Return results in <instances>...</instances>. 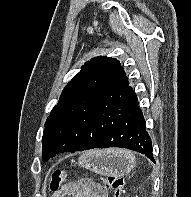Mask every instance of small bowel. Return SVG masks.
I'll list each match as a JSON object with an SVG mask.
<instances>
[{
	"label": "small bowel",
	"mask_w": 191,
	"mask_h": 197,
	"mask_svg": "<svg viewBox=\"0 0 191 197\" xmlns=\"http://www.w3.org/2000/svg\"><path fill=\"white\" fill-rule=\"evenodd\" d=\"M107 189L90 181L69 182L51 197H107Z\"/></svg>",
	"instance_id": "c3829d8e"
}]
</instances>
